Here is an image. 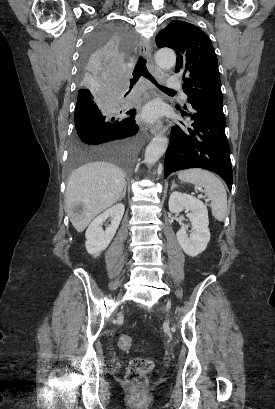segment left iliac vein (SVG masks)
<instances>
[{
  "instance_id": "obj_1",
  "label": "left iliac vein",
  "mask_w": 275,
  "mask_h": 409,
  "mask_svg": "<svg viewBox=\"0 0 275 409\" xmlns=\"http://www.w3.org/2000/svg\"><path fill=\"white\" fill-rule=\"evenodd\" d=\"M169 310V307L167 306L166 308H165V311H168Z\"/></svg>"
}]
</instances>
